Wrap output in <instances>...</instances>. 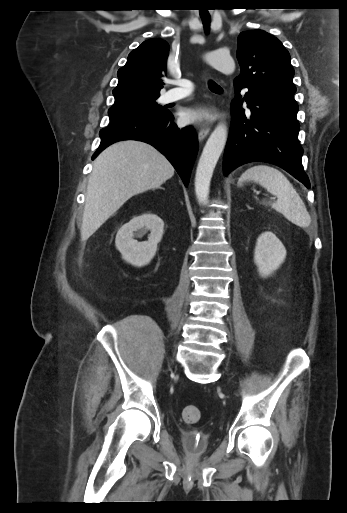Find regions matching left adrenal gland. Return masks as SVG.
<instances>
[{"label":"left adrenal gland","mask_w":347,"mask_h":513,"mask_svg":"<svg viewBox=\"0 0 347 513\" xmlns=\"http://www.w3.org/2000/svg\"><path fill=\"white\" fill-rule=\"evenodd\" d=\"M248 209H250V206L249 205H246Z\"/></svg>","instance_id":"a2214340"}]
</instances>
